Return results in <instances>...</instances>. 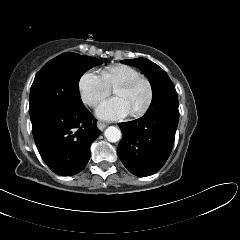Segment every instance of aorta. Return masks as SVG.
I'll use <instances>...</instances> for the list:
<instances>
[{"label": "aorta", "instance_id": "762f6f07", "mask_svg": "<svg viewBox=\"0 0 240 240\" xmlns=\"http://www.w3.org/2000/svg\"><path fill=\"white\" fill-rule=\"evenodd\" d=\"M104 135H105L106 139L112 143L118 142L122 137V133H121L120 129L115 126H109L105 130Z\"/></svg>", "mask_w": 240, "mask_h": 240}]
</instances>
